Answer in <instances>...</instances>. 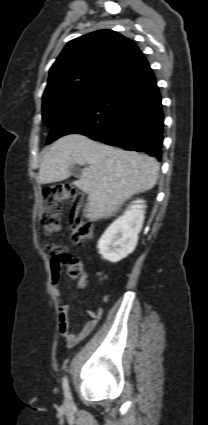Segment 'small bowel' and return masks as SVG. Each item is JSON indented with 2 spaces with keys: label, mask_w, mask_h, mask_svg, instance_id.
<instances>
[{
  "label": "small bowel",
  "mask_w": 208,
  "mask_h": 425,
  "mask_svg": "<svg viewBox=\"0 0 208 425\" xmlns=\"http://www.w3.org/2000/svg\"><path fill=\"white\" fill-rule=\"evenodd\" d=\"M59 270H54L52 268V280H51V288L53 294L57 298V311H58V328L60 335L65 339L66 344L69 347H73L79 343L80 340L87 337L89 334L93 332L98 321L101 319L103 310L98 308L96 311L89 312L90 319L85 323V325L77 332H73L71 330L68 311L69 306L63 302L60 297V289H59ZM107 297H103V301H106Z\"/></svg>",
  "instance_id": "small-bowel-1"
}]
</instances>
